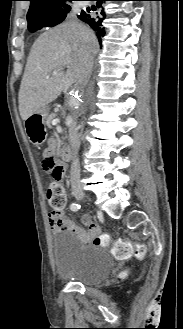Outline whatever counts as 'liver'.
I'll return each instance as SVG.
<instances>
[{
    "mask_svg": "<svg viewBox=\"0 0 183 329\" xmlns=\"http://www.w3.org/2000/svg\"><path fill=\"white\" fill-rule=\"evenodd\" d=\"M94 31L70 20L39 36L33 44L19 90V111L25 121L54 101L71 84L80 81L81 55L97 54ZM63 67H67L66 73ZM56 72V73H54Z\"/></svg>",
    "mask_w": 183,
    "mask_h": 329,
    "instance_id": "1",
    "label": "liver"
}]
</instances>
